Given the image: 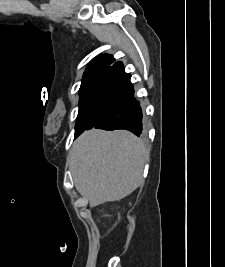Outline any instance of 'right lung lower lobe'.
Segmentation results:
<instances>
[{
  "mask_svg": "<svg viewBox=\"0 0 225 267\" xmlns=\"http://www.w3.org/2000/svg\"><path fill=\"white\" fill-rule=\"evenodd\" d=\"M130 78L122 62H116L95 80L79 109L75 138L91 128L143 134L142 110Z\"/></svg>",
  "mask_w": 225,
  "mask_h": 267,
  "instance_id": "98d812e1",
  "label": "right lung lower lobe"
}]
</instances>
